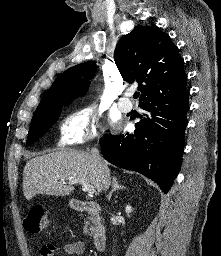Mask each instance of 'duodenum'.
<instances>
[{"mask_svg":"<svg viewBox=\"0 0 221 256\" xmlns=\"http://www.w3.org/2000/svg\"><path fill=\"white\" fill-rule=\"evenodd\" d=\"M73 206L76 211L87 212L91 215L94 223L92 230L93 243L97 250L103 251L106 248L107 234L99 204L93 201L76 200Z\"/></svg>","mask_w":221,"mask_h":256,"instance_id":"obj_1","label":"duodenum"}]
</instances>
